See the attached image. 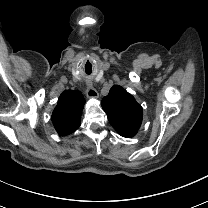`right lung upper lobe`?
<instances>
[{
	"mask_svg": "<svg viewBox=\"0 0 208 208\" xmlns=\"http://www.w3.org/2000/svg\"><path fill=\"white\" fill-rule=\"evenodd\" d=\"M84 104L80 91L67 90L60 95L52 113V122L59 135H69L79 128Z\"/></svg>",
	"mask_w": 208,
	"mask_h": 208,
	"instance_id": "right-lung-upper-lobe-1",
	"label": "right lung upper lobe"
}]
</instances>
